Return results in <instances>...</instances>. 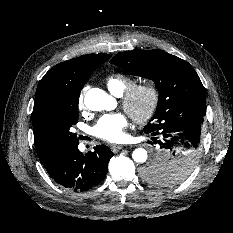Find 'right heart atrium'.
Segmentation results:
<instances>
[{
    "mask_svg": "<svg viewBox=\"0 0 233 233\" xmlns=\"http://www.w3.org/2000/svg\"><path fill=\"white\" fill-rule=\"evenodd\" d=\"M85 91H86V87H84L82 89V91L80 92V94H79L78 102H77L79 109H83V107H84V94H85Z\"/></svg>",
    "mask_w": 233,
    "mask_h": 233,
    "instance_id": "right-heart-atrium-1",
    "label": "right heart atrium"
}]
</instances>
